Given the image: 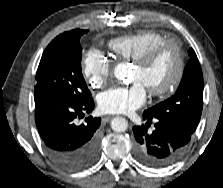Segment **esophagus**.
<instances>
[{
    "instance_id": "esophagus-1",
    "label": "esophagus",
    "mask_w": 223,
    "mask_h": 188,
    "mask_svg": "<svg viewBox=\"0 0 223 188\" xmlns=\"http://www.w3.org/2000/svg\"><path fill=\"white\" fill-rule=\"evenodd\" d=\"M112 118H113V116H105V117H103L102 120L107 122V121L111 120Z\"/></svg>"
}]
</instances>
